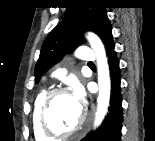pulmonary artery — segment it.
<instances>
[{
	"label": "pulmonary artery",
	"mask_w": 155,
	"mask_h": 141,
	"mask_svg": "<svg viewBox=\"0 0 155 141\" xmlns=\"http://www.w3.org/2000/svg\"><path fill=\"white\" fill-rule=\"evenodd\" d=\"M78 58L86 63H93L94 62V55L92 54V51L87 46H82L78 49Z\"/></svg>",
	"instance_id": "pulmonary-artery-1"
}]
</instances>
